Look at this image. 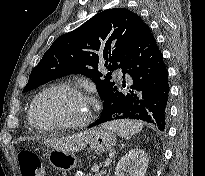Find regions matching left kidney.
I'll return each mask as SVG.
<instances>
[{
  "instance_id": "obj_1",
  "label": "left kidney",
  "mask_w": 205,
  "mask_h": 176,
  "mask_svg": "<svg viewBox=\"0 0 205 176\" xmlns=\"http://www.w3.org/2000/svg\"><path fill=\"white\" fill-rule=\"evenodd\" d=\"M148 157L141 149H132L124 155L115 168V176H145Z\"/></svg>"
}]
</instances>
